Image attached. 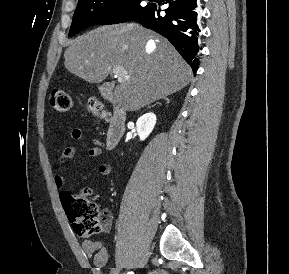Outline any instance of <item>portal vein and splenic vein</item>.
<instances>
[{"instance_id": "portal-vein-and-splenic-vein-1", "label": "portal vein and splenic vein", "mask_w": 289, "mask_h": 274, "mask_svg": "<svg viewBox=\"0 0 289 274\" xmlns=\"http://www.w3.org/2000/svg\"><path fill=\"white\" fill-rule=\"evenodd\" d=\"M113 73H114L115 77L118 78V82L119 83H121V82H123V81L128 79V76H127V74L125 72V69L123 67H121V66L114 67L113 68Z\"/></svg>"}]
</instances>
